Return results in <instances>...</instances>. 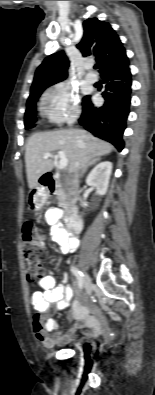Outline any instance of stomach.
Wrapping results in <instances>:
<instances>
[{
	"mask_svg": "<svg viewBox=\"0 0 155 395\" xmlns=\"http://www.w3.org/2000/svg\"><path fill=\"white\" fill-rule=\"evenodd\" d=\"M47 198L48 193L39 186L31 189L28 196L30 206L34 209H40L46 202Z\"/></svg>",
	"mask_w": 155,
	"mask_h": 395,
	"instance_id": "stomach-1",
	"label": "stomach"
}]
</instances>
